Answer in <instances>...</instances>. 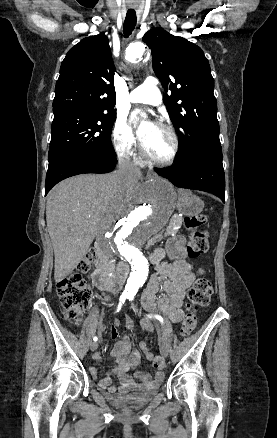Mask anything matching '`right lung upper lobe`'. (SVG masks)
<instances>
[{"mask_svg": "<svg viewBox=\"0 0 277 438\" xmlns=\"http://www.w3.org/2000/svg\"><path fill=\"white\" fill-rule=\"evenodd\" d=\"M115 71L103 33L82 39L61 64L53 100L54 116L116 114Z\"/></svg>", "mask_w": 277, "mask_h": 438, "instance_id": "1", "label": "right lung upper lobe"}]
</instances>
